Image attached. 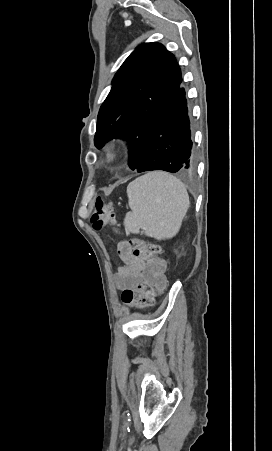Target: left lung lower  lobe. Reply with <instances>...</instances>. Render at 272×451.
<instances>
[{
  "mask_svg": "<svg viewBox=\"0 0 272 451\" xmlns=\"http://www.w3.org/2000/svg\"><path fill=\"white\" fill-rule=\"evenodd\" d=\"M194 165L187 100L181 84L163 108L136 171L185 172Z\"/></svg>",
  "mask_w": 272,
  "mask_h": 451,
  "instance_id": "obj_1",
  "label": "left lung lower lobe"
}]
</instances>
